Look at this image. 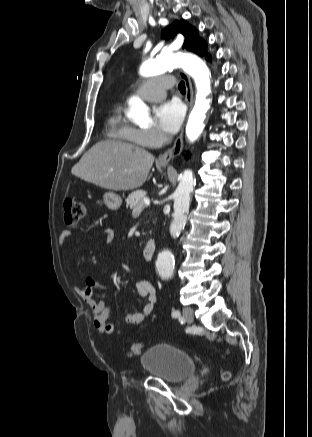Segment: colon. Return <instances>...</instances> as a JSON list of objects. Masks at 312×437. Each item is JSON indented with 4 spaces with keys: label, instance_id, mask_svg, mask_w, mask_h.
I'll list each match as a JSON object with an SVG mask.
<instances>
[{
    "label": "colon",
    "instance_id": "5ec220e1",
    "mask_svg": "<svg viewBox=\"0 0 312 437\" xmlns=\"http://www.w3.org/2000/svg\"><path fill=\"white\" fill-rule=\"evenodd\" d=\"M64 220L68 225H74L80 221L83 217L85 209L82 202L72 198H66L63 202ZM141 352V345L139 343H133L129 349L128 354L138 355ZM224 380L230 378L229 372H224L222 375Z\"/></svg>",
    "mask_w": 312,
    "mask_h": 437
}]
</instances>
